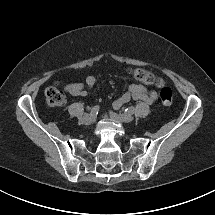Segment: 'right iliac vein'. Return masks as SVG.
Masks as SVG:
<instances>
[{
  "label": "right iliac vein",
  "instance_id": "63e3f726",
  "mask_svg": "<svg viewBox=\"0 0 215 215\" xmlns=\"http://www.w3.org/2000/svg\"><path fill=\"white\" fill-rule=\"evenodd\" d=\"M94 118H95V115L90 113V114H85L83 119H82V122L85 124V125H90L93 121H94Z\"/></svg>",
  "mask_w": 215,
  "mask_h": 215
}]
</instances>
